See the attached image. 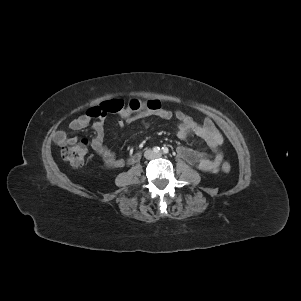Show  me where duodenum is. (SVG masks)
I'll use <instances>...</instances> for the list:
<instances>
[{
  "mask_svg": "<svg viewBox=\"0 0 301 301\" xmlns=\"http://www.w3.org/2000/svg\"><path fill=\"white\" fill-rule=\"evenodd\" d=\"M138 154H135L132 158H131V162H135L138 159Z\"/></svg>",
  "mask_w": 301,
  "mask_h": 301,
  "instance_id": "obj_1",
  "label": "duodenum"
}]
</instances>
